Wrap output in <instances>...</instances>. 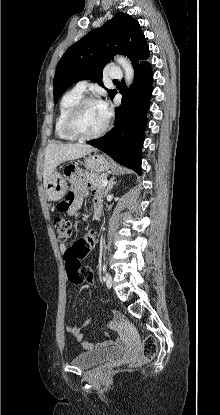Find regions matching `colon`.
Wrapping results in <instances>:
<instances>
[{
	"mask_svg": "<svg viewBox=\"0 0 220 415\" xmlns=\"http://www.w3.org/2000/svg\"><path fill=\"white\" fill-rule=\"evenodd\" d=\"M67 207L66 201L58 203L59 209ZM54 228L58 238L66 241L71 236V223L67 218L58 217L54 221ZM90 248L83 239L76 240L64 253L65 268L68 280L78 285L83 282H92L93 273L91 270L81 267V261L87 256ZM157 342L154 337H147L142 344V353L130 362L131 367H139L151 360L157 354Z\"/></svg>",
	"mask_w": 220,
	"mask_h": 415,
	"instance_id": "colon-1",
	"label": "colon"
}]
</instances>
